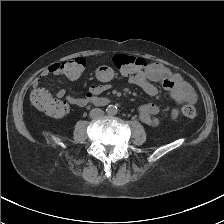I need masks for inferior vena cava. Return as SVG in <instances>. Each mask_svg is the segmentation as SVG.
Segmentation results:
<instances>
[{
	"mask_svg": "<svg viewBox=\"0 0 224 224\" xmlns=\"http://www.w3.org/2000/svg\"><path fill=\"white\" fill-rule=\"evenodd\" d=\"M104 115V111L101 110L100 108H94L90 111V118L92 119H98L101 118Z\"/></svg>",
	"mask_w": 224,
	"mask_h": 224,
	"instance_id": "602c4592",
	"label": "inferior vena cava"
}]
</instances>
